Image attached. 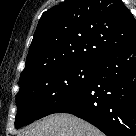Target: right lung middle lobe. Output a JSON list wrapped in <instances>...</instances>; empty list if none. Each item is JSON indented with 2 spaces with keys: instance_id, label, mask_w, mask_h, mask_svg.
I'll use <instances>...</instances> for the list:
<instances>
[{
  "instance_id": "dd1d6c3e",
  "label": "right lung middle lobe",
  "mask_w": 136,
  "mask_h": 136,
  "mask_svg": "<svg viewBox=\"0 0 136 136\" xmlns=\"http://www.w3.org/2000/svg\"><path fill=\"white\" fill-rule=\"evenodd\" d=\"M97 64L53 66L20 82L16 96V129L52 114L92 81Z\"/></svg>"
}]
</instances>
